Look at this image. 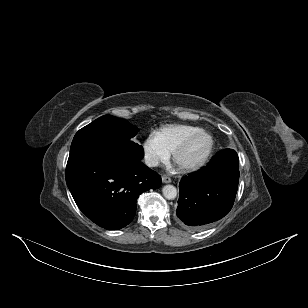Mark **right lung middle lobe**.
Here are the masks:
<instances>
[{
    "label": "right lung middle lobe",
    "instance_id": "dd1d6c3e",
    "mask_svg": "<svg viewBox=\"0 0 308 308\" xmlns=\"http://www.w3.org/2000/svg\"><path fill=\"white\" fill-rule=\"evenodd\" d=\"M138 131L137 127L124 119L104 115L76 133L69 156L90 151H106L142 159V146L131 141Z\"/></svg>",
    "mask_w": 308,
    "mask_h": 308
}]
</instances>
